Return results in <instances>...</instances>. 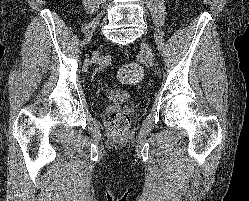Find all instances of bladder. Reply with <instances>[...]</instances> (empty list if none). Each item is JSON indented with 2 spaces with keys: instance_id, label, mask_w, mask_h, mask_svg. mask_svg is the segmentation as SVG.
Listing matches in <instances>:
<instances>
[{
  "instance_id": "31cf9c89",
  "label": "bladder",
  "mask_w": 249,
  "mask_h": 201,
  "mask_svg": "<svg viewBox=\"0 0 249 201\" xmlns=\"http://www.w3.org/2000/svg\"><path fill=\"white\" fill-rule=\"evenodd\" d=\"M108 98L125 101V100H128L130 98V95L128 93L121 92V91H111L108 94Z\"/></svg>"
}]
</instances>
